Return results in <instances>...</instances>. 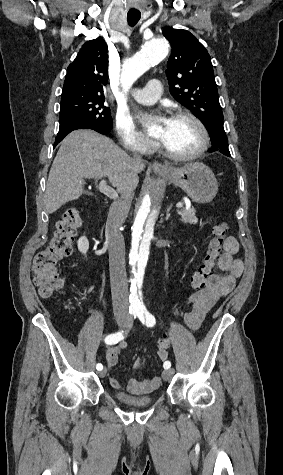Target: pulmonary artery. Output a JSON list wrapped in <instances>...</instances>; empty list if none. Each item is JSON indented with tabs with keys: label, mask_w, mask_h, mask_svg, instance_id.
I'll list each match as a JSON object with an SVG mask.
<instances>
[{
	"label": "pulmonary artery",
	"mask_w": 283,
	"mask_h": 475,
	"mask_svg": "<svg viewBox=\"0 0 283 475\" xmlns=\"http://www.w3.org/2000/svg\"><path fill=\"white\" fill-rule=\"evenodd\" d=\"M162 81L161 80H148L145 87H140L135 90L139 95H135L134 99L143 104L154 103L157 101L162 93ZM130 90V89H121Z\"/></svg>",
	"instance_id": "e3ab8cb5"
}]
</instances>
